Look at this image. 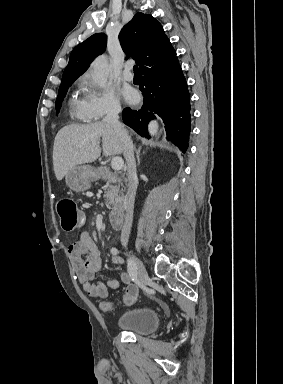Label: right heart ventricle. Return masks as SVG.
Returning a JSON list of instances; mask_svg holds the SVG:
<instances>
[{"instance_id": "right-heart-ventricle-1", "label": "right heart ventricle", "mask_w": 283, "mask_h": 384, "mask_svg": "<svg viewBox=\"0 0 283 384\" xmlns=\"http://www.w3.org/2000/svg\"><path fill=\"white\" fill-rule=\"evenodd\" d=\"M84 99L79 98L77 93H73L68 100V110L71 118L75 121L84 120Z\"/></svg>"}]
</instances>
